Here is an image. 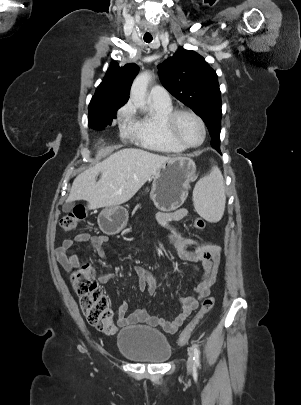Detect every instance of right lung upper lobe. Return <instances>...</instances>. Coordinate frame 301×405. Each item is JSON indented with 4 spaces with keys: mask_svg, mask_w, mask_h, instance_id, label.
Wrapping results in <instances>:
<instances>
[{
    "mask_svg": "<svg viewBox=\"0 0 301 405\" xmlns=\"http://www.w3.org/2000/svg\"><path fill=\"white\" fill-rule=\"evenodd\" d=\"M138 71L139 67L134 63L126 64L123 67H119L116 63L112 64L89 106L119 109L129 99L130 87Z\"/></svg>",
    "mask_w": 301,
    "mask_h": 405,
    "instance_id": "cb5924a9",
    "label": "right lung upper lobe"
}]
</instances>
